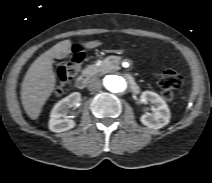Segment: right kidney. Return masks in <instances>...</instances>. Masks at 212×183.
Returning <instances> with one entry per match:
<instances>
[{
    "instance_id": "obj_1",
    "label": "right kidney",
    "mask_w": 212,
    "mask_h": 183,
    "mask_svg": "<svg viewBox=\"0 0 212 183\" xmlns=\"http://www.w3.org/2000/svg\"><path fill=\"white\" fill-rule=\"evenodd\" d=\"M81 94L74 92L60 100L50 113L49 129L53 132H64L75 127V121L67 117L70 107H79Z\"/></svg>"
}]
</instances>
